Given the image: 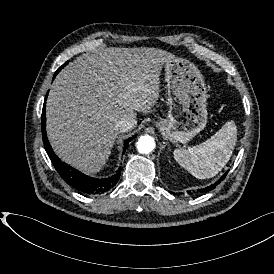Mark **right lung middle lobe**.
Returning a JSON list of instances; mask_svg holds the SVG:
<instances>
[{
    "instance_id": "1",
    "label": "right lung middle lobe",
    "mask_w": 274,
    "mask_h": 274,
    "mask_svg": "<svg viewBox=\"0 0 274 274\" xmlns=\"http://www.w3.org/2000/svg\"><path fill=\"white\" fill-rule=\"evenodd\" d=\"M68 62L64 63L57 71H60Z\"/></svg>"
}]
</instances>
